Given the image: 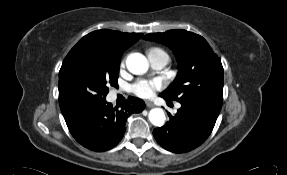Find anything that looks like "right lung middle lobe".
<instances>
[{"instance_id":"1","label":"right lung middle lobe","mask_w":287,"mask_h":175,"mask_svg":"<svg viewBox=\"0 0 287 175\" xmlns=\"http://www.w3.org/2000/svg\"><path fill=\"white\" fill-rule=\"evenodd\" d=\"M121 57H98L88 42L77 43L59 71V105L62 113L95 105L117 86Z\"/></svg>"}]
</instances>
